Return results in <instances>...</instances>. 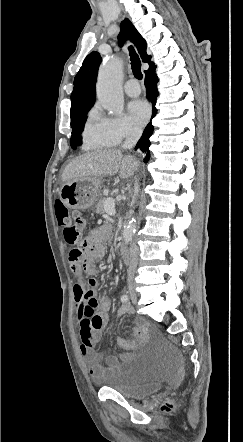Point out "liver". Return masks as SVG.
I'll return each mask as SVG.
<instances>
[{"label": "liver", "instance_id": "liver-1", "mask_svg": "<svg viewBox=\"0 0 243 442\" xmlns=\"http://www.w3.org/2000/svg\"><path fill=\"white\" fill-rule=\"evenodd\" d=\"M139 162L130 155H123L119 149H101L87 152L72 160L62 173V181L74 178L112 176L130 178Z\"/></svg>", "mask_w": 243, "mask_h": 442}]
</instances>
